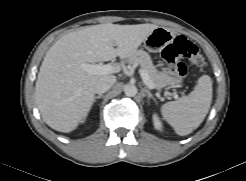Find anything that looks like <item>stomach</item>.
Here are the masks:
<instances>
[{
    "mask_svg": "<svg viewBox=\"0 0 246 181\" xmlns=\"http://www.w3.org/2000/svg\"><path fill=\"white\" fill-rule=\"evenodd\" d=\"M174 39L173 32L165 27L156 28L146 39L145 47L150 52L160 51Z\"/></svg>",
    "mask_w": 246,
    "mask_h": 181,
    "instance_id": "obj_1",
    "label": "stomach"
}]
</instances>
